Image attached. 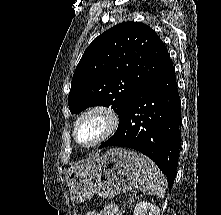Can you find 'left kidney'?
Masks as SVG:
<instances>
[{
	"mask_svg": "<svg viewBox=\"0 0 221 215\" xmlns=\"http://www.w3.org/2000/svg\"><path fill=\"white\" fill-rule=\"evenodd\" d=\"M133 215H160V209L147 201H142L136 204Z\"/></svg>",
	"mask_w": 221,
	"mask_h": 215,
	"instance_id": "1",
	"label": "left kidney"
}]
</instances>
